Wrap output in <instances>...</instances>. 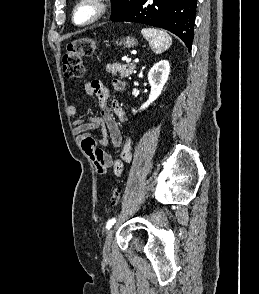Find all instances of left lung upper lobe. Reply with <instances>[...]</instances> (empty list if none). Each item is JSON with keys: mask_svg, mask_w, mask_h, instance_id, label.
Masks as SVG:
<instances>
[{"mask_svg": "<svg viewBox=\"0 0 259 294\" xmlns=\"http://www.w3.org/2000/svg\"><path fill=\"white\" fill-rule=\"evenodd\" d=\"M136 0H112L113 3V14L111 17H115L116 15L124 12L134 5Z\"/></svg>", "mask_w": 259, "mask_h": 294, "instance_id": "5c2ea615", "label": "left lung upper lobe"}]
</instances>
